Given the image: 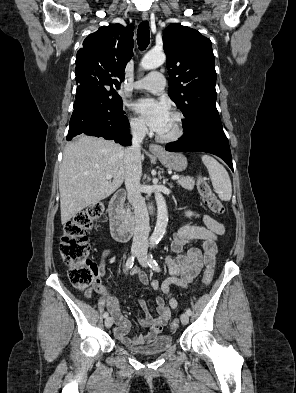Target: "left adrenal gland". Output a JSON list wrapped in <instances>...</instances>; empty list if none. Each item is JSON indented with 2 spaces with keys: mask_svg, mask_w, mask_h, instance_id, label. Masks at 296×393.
I'll return each mask as SVG.
<instances>
[{
  "mask_svg": "<svg viewBox=\"0 0 296 393\" xmlns=\"http://www.w3.org/2000/svg\"><path fill=\"white\" fill-rule=\"evenodd\" d=\"M169 186H170L171 188L173 187V185H172V184H170Z\"/></svg>",
  "mask_w": 296,
  "mask_h": 393,
  "instance_id": "left-adrenal-gland-1",
  "label": "left adrenal gland"
}]
</instances>
